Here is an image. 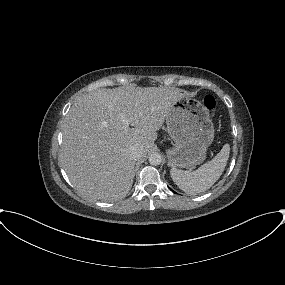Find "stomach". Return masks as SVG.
I'll list each match as a JSON object with an SVG mask.
<instances>
[{
    "instance_id": "obj_1",
    "label": "stomach",
    "mask_w": 285,
    "mask_h": 285,
    "mask_svg": "<svg viewBox=\"0 0 285 285\" xmlns=\"http://www.w3.org/2000/svg\"><path fill=\"white\" fill-rule=\"evenodd\" d=\"M174 147L167 151L172 168H190L201 164L214 139V126L208 110L197 100L182 96L166 119Z\"/></svg>"
}]
</instances>
